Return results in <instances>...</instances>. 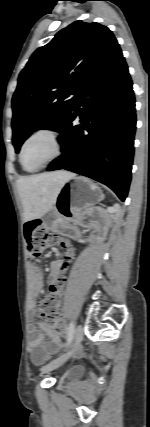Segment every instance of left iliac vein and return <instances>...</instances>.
<instances>
[{
    "mask_svg": "<svg viewBox=\"0 0 150 427\" xmlns=\"http://www.w3.org/2000/svg\"><path fill=\"white\" fill-rule=\"evenodd\" d=\"M83 335H84V331H83V326L82 325H78L76 330H75V335H74V342H73V349L76 348L80 342L83 339ZM73 349L67 353L62 354L61 356H59L58 358H56L55 360H53L52 362H50L49 364H47L43 369L42 372L43 373H48L54 369H57L58 367H60L63 363L66 362V360L71 356Z\"/></svg>",
    "mask_w": 150,
    "mask_h": 427,
    "instance_id": "obj_1",
    "label": "left iliac vein"
}]
</instances>
